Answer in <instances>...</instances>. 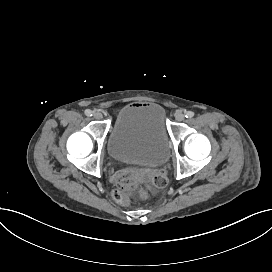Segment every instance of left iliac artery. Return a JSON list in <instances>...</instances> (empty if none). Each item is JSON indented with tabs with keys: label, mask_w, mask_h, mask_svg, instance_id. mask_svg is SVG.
I'll return each mask as SVG.
<instances>
[{
	"label": "left iliac artery",
	"mask_w": 272,
	"mask_h": 272,
	"mask_svg": "<svg viewBox=\"0 0 272 272\" xmlns=\"http://www.w3.org/2000/svg\"><path fill=\"white\" fill-rule=\"evenodd\" d=\"M194 116V113L192 112V111H187L186 113H185V117L186 118H192Z\"/></svg>",
	"instance_id": "obj_1"
}]
</instances>
